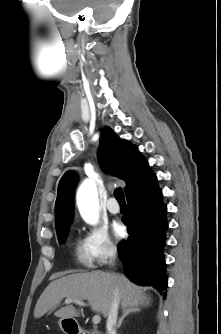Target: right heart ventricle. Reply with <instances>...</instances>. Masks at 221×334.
I'll list each match as a JSON object with an SVG mask.
<instances>
[{"mask_svg": "<svg viewBox=\"0 0 221 334\" xmlns=\"http://www.w3.org/2000/svg\"><path fill=\"white\" fill-rule=\"evenodd\" d=\"M74 255L76 260L85 266H90L91 259L87 253V250L85 248V245L81 241H77L74 245Z\"/></svg>", "mask_w": 221, "mask_h": 334, "instance_id": "e07e8e85", "label": "right heart ventricle"}]
</instances>
